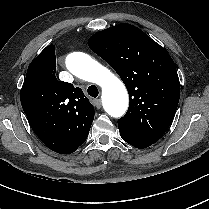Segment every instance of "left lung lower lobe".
Wrapping results in <instances>:
<instances>
[{
  "instance_id": "obj_1",
  "label": "left lung lower lobe",
  "mask_w": 209,
  "mask_h": 209,
  "mask_svg": "<svg viewBox=\"0 0 209 209\" xmlns=\"http://www.w3.org/2000/svg\"><path fill=\"white\" fill-rule=\"evenodd\" d=\"M120 131V130H119ZM120 136L122 137L123 140H125L127 143H129L130 145L136 147V148H139V149H143V148H146L148 146H150L151 144L147 143V142H144L142 140H139L138 138H136L135 136L129 134V133H126V132H123V131H120Z\"/></svg>"
}]
</instances>
